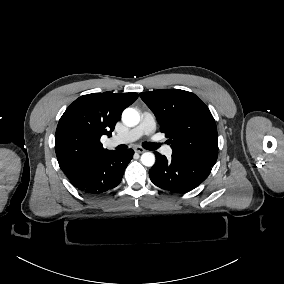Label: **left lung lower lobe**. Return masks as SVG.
Instances as JSON below:
<instances>
[{"label":"left lung lower lobe","instance_id":"obj_1","mask_svg":"<svg viewBox=\"0 0 284 284\" xmlns=\"http://www.w3.org/2000/svg\"><path fill=\"white\" fill-rule=\"evenodd\" d=\"M156 163L149 170L151 181L172 193H186L196 188L210 174L212 166L172 154L171 159L155 152Z\"/></svg>","mask_w":284,"mask_h":284}]
</instances>
